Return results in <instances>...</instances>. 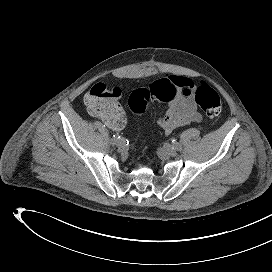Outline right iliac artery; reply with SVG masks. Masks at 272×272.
Segmentation results:
<instances>
[{"label":"right iliac artery","mask_w":272,"mask_h":272,"mask_svg":"<svg viewBox=\"0 0 272 272\" xmlns=\"http://www.w3.org/2000/svg\"><path fill=\"white\" fill-rule=\"evenodd\" d=\"M121 138V135L119 133H117L116 135L113 136V138L111 139V144L115 145L116 141L119 140Z\"/></svg>","instance_id":"right-iliac-artery-1"}]
</instances>
